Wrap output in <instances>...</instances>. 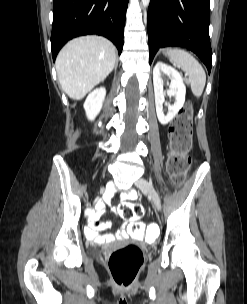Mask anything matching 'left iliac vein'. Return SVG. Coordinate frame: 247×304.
<instances>
[{"label": "left iliac vein", "instance_id": "left-iliac-vein-1", "mask_svg": "<svg viewBox=\"0 0 247 304\" xmlns=\"http://www.w3.org/2000/svg\"><path fill=\"white\" fill-rule=\"evenodd\" d=\"M135 185L143 192L147 193L148 196L151 198L154 206L160 210L161 209V201L159 195L155 188L153 187L152 183L148 182L144 178H139L136 180Z\"/></svg>", "mask_w": 247, "mask_h": 304}]
</instances>
